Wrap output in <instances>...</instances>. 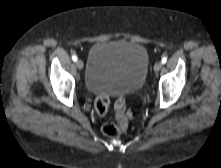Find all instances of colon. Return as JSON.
Returning a JSON list of instances; mask_svg holds the SVG:
<instances>
[{
    "label": "colon",
    "instance_id": "1",
    "mask_svg": "<svg viewBox=\"0 0 221 168\" xmlns=\"http://www.w3.org/2000/svg\"><path fill=\"white\" fill-rule=\"evenodd\" d=\"M109 106V98L107 96H99L95 100V109L100 115L107 112ZM115 122H107L102 127V132L107 137H117L124 131L132 118V113L127 110L125 100L118 98L115 102L114 109Z\"/></svg>",
    "mask_w": 221,
    "mask_h": 168
}]
</instances>
